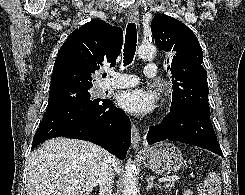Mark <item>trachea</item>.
I'll return each mask as SVG.
<instances>
[{
	"label": "trachea",
	"instance_id": "obj_1",
	"mask_svg": "<svg viewBox=\"0 0 245 195\" xmlns=\"http://www.w3.org/2000/svg\"><path fill=\"white\" fill-rule=\"evenodd\" d=\"M137 45V30L136 25L133 22H130L126 28L125 35V45L123 49V63L124 66L132 63ZM104 77L106 74L103 75Z\"/></svg>",
	"mask_w": 245,
	"mask_h": 195
}]
</instances>
